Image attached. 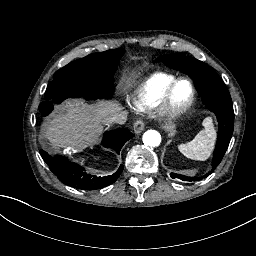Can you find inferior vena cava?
Returning a JSON list of instances; mask_svg holds the SVG:
<instances>
[{
    "label": "inferior vena cava",
    "instance_id": "602c4592",
    "mask_svg": "<svg viewBox=\"0 0 256 256\" xmlns=\"http://www.w3.org/2000/svg\"><path fill=\"white\" fill-rule=\"evenodd\" d=\"M127 114H128L127 111H121V112L115 113L114 115L108 117L106 119V121H107L108 124H120V125H122L127 120Z\"/></svg>",
    "mask_w": 256,
    "mask_h": 256
}]
</instances>
